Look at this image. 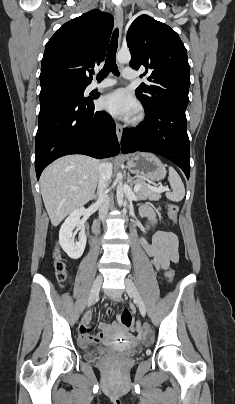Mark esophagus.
Wrapping results in <instances>:
<instances>
[{
	"instance_id": "34e87169",
	"label": "esophagus",
	"mask_w": 235,
	"mask_h": 404,
	"mask_svg": "<svg viewBox=\"0 0 235 404\" xmlns=\"http://www.w3.org/2000/svg\"><path fill=\"white\" fill-rule=\"evenodd\" d=\"M115 19H116L117 25L119 27L118 45L120 46L121 39H122V29H123V10L120 6H117L115 8ZM122 133H123L122 125L120 123L116 122V134H117V138H118L119 142H121Z\"/></svg>"
}]
</instances>
